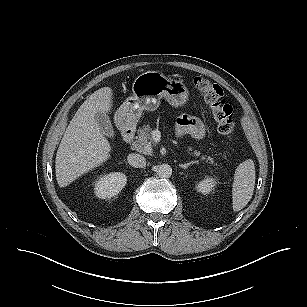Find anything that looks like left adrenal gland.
Wrapping results in <instances>:
<instances>
[{
  "mask_svg": "<svg viewBox=\"0 0 307 307\" xmlns=\"http://www.w3.org/2000/svg\"><path fill=\"white\" fill-rule=\"evenodd\" d=\"M196 163V161H191L189 163H185V164H179V166L183 169H187L190 165Z\"/></svg>",
  "mask_w": 307,
  "mask_h": 307,
  "instance_id": "left-adrenal-gland-1",
  "label": "left adrenal gland"
}]
</instances>
